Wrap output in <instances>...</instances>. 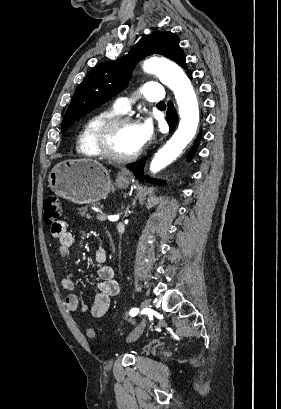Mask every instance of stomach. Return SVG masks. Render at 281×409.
I'll use <instances>...</instances> for the list:
<instances>
[{
  "mask_svg": "<svg viewBox=\"0 0 281 409\" xmlns=\"http://www.w3.org/2000/svg\"><path fill=\"white\" fill-rule=\"evenodd\" d=\"M131 180V176L118 172L115 182H112L107 168L98 160L71 158L53 166L49 172L48 186L57 196L84 205V202H98L105 198L116 186L126 188Z\"/></svg>",
  "mask_w": 281,
  "mask_h": 409,
  "instance_id": "stomach-1",
  "label": "stomach"
}]
</instances>
